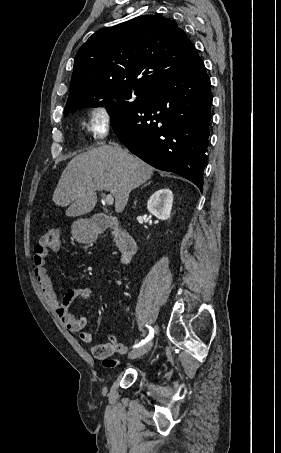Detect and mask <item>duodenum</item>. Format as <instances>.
Listing matches in <instances>:
<instances>
[{
	"instance_id": "1",
	"label": "duodenum",
	"mask_w": 281,
	"mask_h": 453,
	"mask_svg": "<svg viewBox=\"0 0 281 453\" xmlns=\"http://www.w3.org/2000/svg\"><path fill=\"white\" fill-rule=\"evenodd\" d=\"M111 229L114 233V237L122 255L124 261H128L137 251V243L135 239L124 229H122L119 223L109 217H97L92 222V230L95 235Z\"/></svg>"
}]
</instances>
